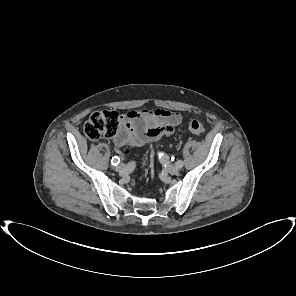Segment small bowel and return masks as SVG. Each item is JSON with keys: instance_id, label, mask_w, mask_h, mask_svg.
Here are the masks:
<instances>
[{"instance_id": "c3829d8e", "label": "small bowel", "mask_w": 296, "mask_h": 296, "mask_svg": "<svg viewBox=\"0 0 296 296\" xmlns=\"http://www.w3.org/2000/svg\"><path fill=\"white\" fill-rule=\"evenodd\" d=\"M182 121L178 112L167 109L130 111L120 119L113 138L115 146H142L147 142L169 136Z\"/></svg>"}]
</instances>
